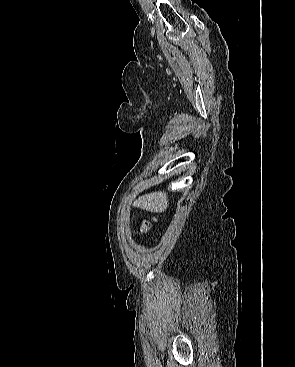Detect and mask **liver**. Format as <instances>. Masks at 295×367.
<instances>
[{
  "mask_svg": "<svg viewBox=\"0 0 295 367\" xmlns=\"http://www.w3.org/2000/svg\"><path fill=\"white\" fill-rule=\"evenodd\" d=\"M167 203V194L160 191L140 196L134 202V205L146 211L160 213L166 211L168 207Z\"/></svg>",
  "mask_w": 295,
  "mask_h": 367,
  "instance_id": "6515ba94",
  "label": "liver"
}]
</instances>
